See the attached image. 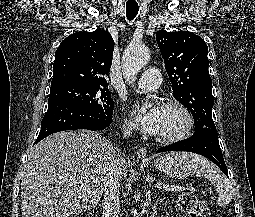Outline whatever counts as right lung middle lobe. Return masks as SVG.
Wrapping results in <instances>:
<instances>
[{"mask_svg": "<svg viewBox=\"0 0 255 217\" xmlns=\"http://www.w3.org/2000/svg\"><path fill=\"white\" fill-rule=\"evenodd\" d=\"M67 101L100 113H113L114 103L105 87L81 84H62L52 86L48 103Z\"/></svg>", "mask_w": 255, "mask_h": 217, "instance_id": "1", "label": "right lung middle lobe"}]
</instances>
